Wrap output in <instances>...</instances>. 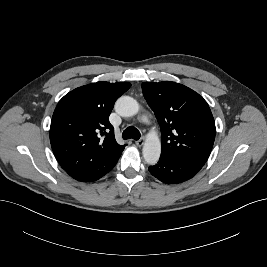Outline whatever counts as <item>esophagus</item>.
Returning a JSON list of instances; mask_svg holds the SVG:
<instances>
[{
  "label": "esophagus",
  "mask_w": 267,
  "mask_h": 267,
  "mask_svg": "<svg viewBox=\"0 0 267 267\" xmlns=\"http://www.w3.org/2000/svg\"><path fill=\"white\" fill-rule=\"evenodd\" d=\"M135 144H136L138 147H141V146H143L144 141L140 139V140H137V141L135 142Z\"/></svg>",
  "instance_id": "esophagus-1"
}]
</instances>
